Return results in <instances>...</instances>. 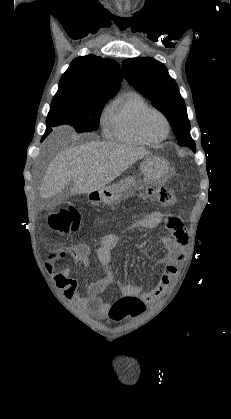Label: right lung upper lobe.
Here are the masks:
<instances>
[{"label":"right lung upper lobe","instance_id":"1","mask_svg":"<svg viewBox=\"0 0 231 419\" xmlns=\"http://www.w3.org/2000/svg\"><path fill=\"white\" fill-rule=\"evenodd\" d=\"M122 79L121 68L114 60L80 56L62 75L56 94L80 99L111 98L120 89Z\"/></svg>","mask_w":231,"mask_h":419}]
</instances>
